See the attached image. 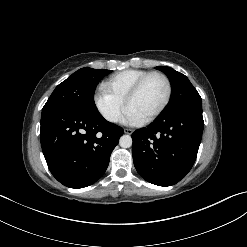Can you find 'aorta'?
<instances>
[{"mask_svg": "<svg viewBox=\"0 0 247 247\" xmlns=\"http://www.w3.org/2000/svg\"><path fill=\"white\" fill-rule=\"evenodd\" d=\"M132 138L130 135H123L120 137L119 139V145L122 147V148H129L132 146Z\"/></svg>", "mask_w": 247, "mask_h": 247, "instance_id": "1", "label": "aorta"}]
</instances>
